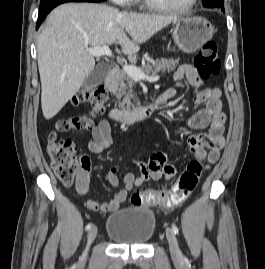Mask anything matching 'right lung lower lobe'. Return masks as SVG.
Listing matches in <instances>:
<instances>
[{
  "label": "right lung lower lobe",
  "instance_id": "1",
  "mask_svg": "<svg viewBox=\"0 0 265 269\" xmlns=\"http://www.w3.org/2000/svg\"><path fill=\"white\" fill-rule=\"evenodd\" d=\"M106 0H41L40 1V9H39V16L38 22L36 25V29L39 28L40 24L46 17V15L57 5L66 3V2H103Z\"/></svg>",
  "mask_w": 265,
  "mask_h": 269
}]
</instances>
